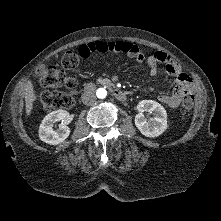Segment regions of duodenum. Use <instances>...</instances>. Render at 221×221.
<instances>
[{"mask_svg": "<svg viewBox=\"0 0 221 221\" xmlns=\"http://www.w3.org/2000/svg\"><path fill=\"white\" fill-rule=\"evenodd\" d=\"M100 84L104 87H106L118 100L120 101H126L128 98V94L121 90L120 88H118L115 84H113L112 82L108 81V80H102L100 82ZM93 90V85L92 84H87L84 87V92L85 93H89Z\"/></svg>", "mask_w": 221, "mask_h": 221, "instance_id": "duodenum-1", "label": "duodenum"}]
</instances>
